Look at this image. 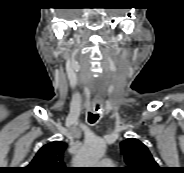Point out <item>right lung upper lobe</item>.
Listing matches in <instances>:
<instances>
[{
    "mask_svg": "<svg viewBox=\"0 0 184 173\" xmlns=\"http://www.w3.org/2000/svg\"><path fill=\"white\" fill-rule=\"evenodd\" d=\"M66 147L67 144L62 141L44 145L24 168V173H67L68 169L64 166Z\"/></svg>",
    "mask_w": 184,
    "mask_h": 173,
    "instance_id": "right-lung-upper-lobe-1",
    "label": "right lung upper lobe"
}]
</instances>
